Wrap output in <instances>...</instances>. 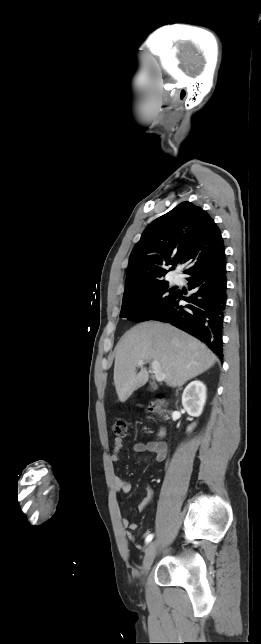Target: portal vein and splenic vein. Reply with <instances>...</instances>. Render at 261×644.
I'll list each match as a JSON object with an SVG mask.
<instances>
[{
    "label": "portal vein and splenic vein",
    "mask_w": 261,
    "mask_h": 644,
    "mask_svg": "<svg viewBox=\"0 0 261 644\" xmlns=\"http://www.w3.org/2000/svg\"><path fill=\"white\" fill-rule=\"evenodd\" d=\"M144 364L143 360L138 361V365L142 366ZM151 367L153 369V372L155 374V378L158 382H161L165 379L166 375L161 371L160 364L158 361H152L151 362Z\"/></svg>",
    "instance_id": "obj_1"
}]
</instances>
